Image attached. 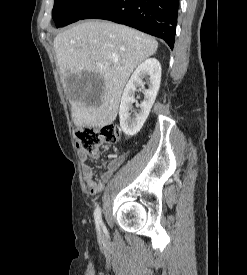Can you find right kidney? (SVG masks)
<instances>
[{"mask_svg": "<svg viewBox=\"0 0 247 275\" xmlns=\"http://www.w3.org/2000/svg\"><path fill=\"white\" fill-rule=\"evenodd\" d=\"M148 89H144L143 78L148 77ZM161 81V66L157 59L149 58L141 63L128 81L121 98L119 108L120 126L128 136L136 135L149 116L155 102ZM144 89V101L139 105V112L131 117L132 104L136 102L135 92Z\"/></svg>", "mask_w": 247, "mask_h": 275, "instance_id": "obj_1", "label": "right kidney"}]
</instances>
